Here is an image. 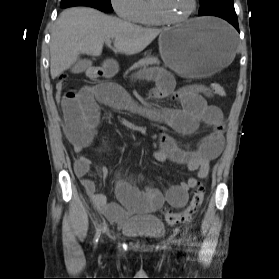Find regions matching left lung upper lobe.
<instances>
[{
    "mask_svg": "<svg viewBox=\"0 0 279 279\" xmlns=\"http://www.w3.org/2000/svg\"><path fill=\"white\" fill-rule=\"evenodd\" d=\"M200 1V10L199 15H203L214 9L222 7H234L233 0H199Z\"/></svg>",
    "mask_w": 279,
    "mask_h": 279,
    "instance_id": "obj_1",
    "label": "left lung upper lobe"
}]
</instances>
